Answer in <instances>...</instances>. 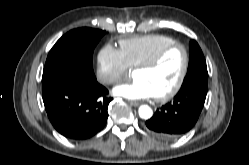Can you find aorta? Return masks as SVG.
Listing matches in <instances>:
<instances>
[{
	"mask_svg": "<svg viewBox=\"0 0 249 165\" xmlns=\"http://www.w3.org/2000/svg\"><path fill=\"white\" fill-rule=\"evenodd\" d=\"M153 115L152 109L148 105H142L139 107V116L142 119H149Z\"/></svg>",
	"mask_w": 249,
	"mask_h": 165,
	"instance_id": "1",
	"label": "aorta"
}]
</instances>
